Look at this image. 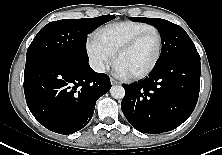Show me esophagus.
Wrapping results in <instances>:
<instances>
[{"label":"esophagus","mask_w":222,"mask_h":155,"mask_svg":"<svg viewBox=\"0 0 222 155\" xmlns=\"http://www.w3.org/2000/svg\"><path fill=\"white\" fill-rule=\"evenodd\" d=\"M110 81H111V84H112V85H115V84H118V83H119L117 80H115V79H113V78H111Z\"/></svg>","instance_id":"esophagus-1"}]
</instances>
